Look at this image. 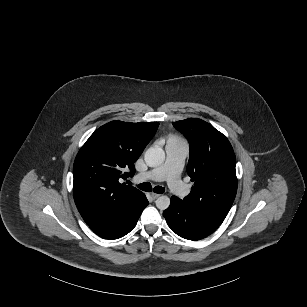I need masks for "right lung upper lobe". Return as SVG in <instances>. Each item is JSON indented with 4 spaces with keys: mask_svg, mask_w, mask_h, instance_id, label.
<instances>
[{
    "mask_svg": "<svg viewBox=\"0 0 307 307\" xmlns=\"http://www.w3.org/2000/svg\"><path fill=\"white\" fill-rule=\"evenodd\" d=\"M158 126V122L112 121L98 128L82 146L73 167V194L88 225L115 214L143 194L120 182L134 175V162Z\"/></svg>",
    "mask_w": 307,
    "mask_h": 307,
    "instance_id": "cb5924a9",
    "label": "right lung upper lobe"
}]
</instances>
